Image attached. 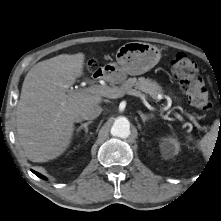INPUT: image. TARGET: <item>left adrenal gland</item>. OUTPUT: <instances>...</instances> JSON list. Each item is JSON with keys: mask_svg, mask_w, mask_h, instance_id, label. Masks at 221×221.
I'll use <instances>...</instances> for the list:
<instances>
[{"mask_svg": "<svg viewBox=\"0 0 221 221\" xmlns=\"http://www.w3.org/2000/svg\"><path fill=\"white\" fill-rule=\"evenodd\" d=\"M143 123H145L147 120L149 119H152L153 118V115L152 114H149V115H146V114H143L141 111L138 112Z\"/></svg>", "mask_w": 221, "mask_h": 221, "instance_id": "obj_1", "label": "left adrenal gland"}]
</instances>
